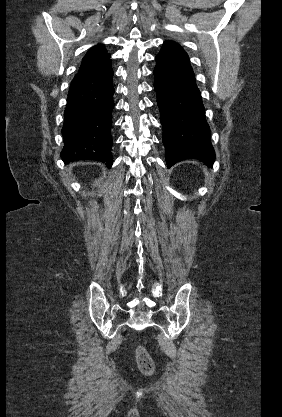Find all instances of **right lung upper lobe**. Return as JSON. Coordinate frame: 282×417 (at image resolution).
I'll use <instances>...</instances> for the list:
<instances>
[{"mask_svg":"<svg viewBox=\"0 0 282 417\" xmlns=\"http://www.w3.org/2000/svg\"><path fill=\"white\" fill-rule=\"evenodd\" d=\"M108 59H110V54L107 53L104 47H102L101 45L97 47H93L91 50L87 52V54L83 58L82 64L79 70L89 68L93 65H96Z\"/></svg>","mask_w":282,"mask_h":417,"instance_id":"obj_1","label":"right lung upper lobe"}]
</instances>
